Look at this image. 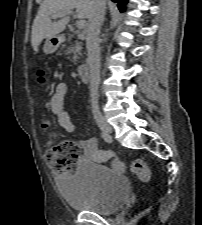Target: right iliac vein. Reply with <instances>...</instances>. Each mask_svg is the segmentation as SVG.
<instances>
[{
  "label": "right iliac vein",
  "instance_id": "obj_1",
  "mask_svg": "<svg viewBox=\"0 0 202 225\" xmlns=\"http://www.w3.org/2000/svg\"><path fill=\"white\" fill-rule=\"evenodd\" d=\"M94 119L100 129L107 135H109L112 132V128L110 125L107 123L105 120L104 116L100 112H95L94 113Z\"/></svg>",
  "mask_w": 202,
  "mask_h": 225
}]
</instances>
